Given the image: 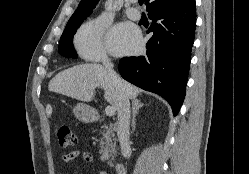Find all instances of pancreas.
<instances>
[{
  "instance_id": "obj_1",
  "label": "pancreas",
  "mask_w": 249,
  "mask_h": 174,
  "mask_svg": "<svg viewBox=\"0 0 249 174\" xmlns=\"http://www.w3.org/2000/svg\"><path fill=\"white\" fill-rule=\"evenodd\" d=\"M103 128V127H101ZM105 130L101 132L100 154L102 161H108V165L112 166V160L116 156V139L114 133L104 126Z\"/></svg>"
}]
</instances>
